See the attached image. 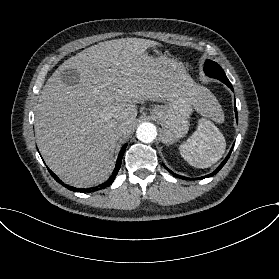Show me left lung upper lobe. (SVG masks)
<instances>
[{
	"label": "left lung upper lobe",
	"mask_w": 279,
	"mask_h": 279,
	"mask_svg": "<svg viewBox=\"0 0 279 279\" xmlns=\"http://www.w3.org/2000/svg\"><path fill=\"white\" fill-rule=\"evenodd\" d=\"M204 72L207 76L216 78L225 83L227 86L231 85L230 81L226 77L224 70L214 61H206L204 66Z\"/></svg>",
	"instance_id": "obj_1"
}]
</instances>
